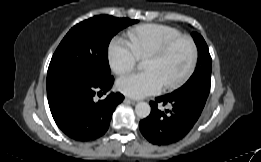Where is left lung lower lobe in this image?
<instances>
[{"instance_id":"left-lung-lower-lobe-1","label":"left lung lower lobe","mask_w":261,"mask_h":162,"mask_svg":"<svg viewBox=\"0 0 261 162\" xmlns=\"http://www.w3.org/2000/svg\"><path fill=\"white\" fill-rule=\"evenodd\" d=\"M208 94L199 89L176 90L150 102V115L141 120L139 128L143 136L156 145H168L182 139L197 122ZM171 103L172 110L158 109L157 103Z\"/></svg>"}]
</instances>
